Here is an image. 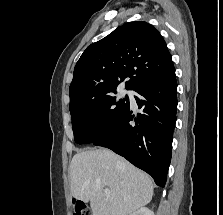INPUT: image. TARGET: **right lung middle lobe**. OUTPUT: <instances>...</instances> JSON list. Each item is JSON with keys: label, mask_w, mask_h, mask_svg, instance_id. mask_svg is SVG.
<instances>
[{"label": "right lung middle lobe", "mask_w": 223, "mask_h": 215, "mask_svg": "<svg viewBox=\"0 0 223 215\" xmlns=\"http://www.w3.org/2000/svg\"><path fill=\"white\" fill-rule=\"evenodd\" d=\"M113 94L116 92L70 109L76 143H93L121 120L129 107V98L117 99Z\"/></svg>", "instance_id": "right-lung-middle-lobe-1"}]
</instances>
